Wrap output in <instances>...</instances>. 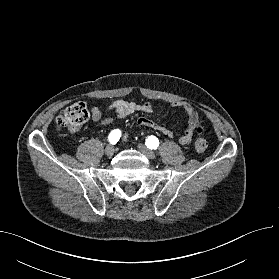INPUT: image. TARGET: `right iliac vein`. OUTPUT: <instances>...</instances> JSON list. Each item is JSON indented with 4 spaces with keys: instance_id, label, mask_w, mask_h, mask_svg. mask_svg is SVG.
Masks as SVG:
<instances>
[{
    "instance_id": "63e3f726",
    "label": "right iliac vein",
    "mask_w": 279,
    "mask_h": 279,
    "mask_svg": "<svg viewBox=\"0 0 279 279\" xmlns=\"http://www.w3.org/2000/svg\"><path fill=\"white\" fill-rule=\"evenodd\" d=\"M115 151V148L113 145L109 144L106 148H105V155L108 157L113 156Z\"/></svg>"
}]
</instances>
